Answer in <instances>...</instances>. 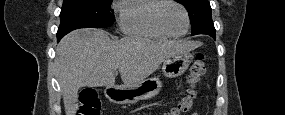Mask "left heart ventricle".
Returning a JSON list of instances; mask_svg holds the SVG:
<instances>
[{
	"instance_id": "left-heart-ventricle-1",
	"label": "left heart ventricle",
	"mask_w": 285,
	"mask_h": 115,
	"mask_svg": "<svg viewBox=\"0 0 285 115\" xmlns=\"http://www.w3.org/2000/svg\"><path fill=\"white\" fill-rule=\"evenodd\" d=\"M160 18L165 28L173 34H180L186 28L185 15L177 5H164L160 11Z\"/></svg>"
}]
</instances>
